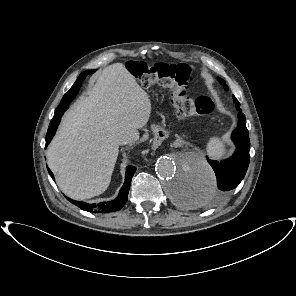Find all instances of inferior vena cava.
Returning <instances> with one entry per match:
<instances>
[{"label": "inferior vena cava", "instance_id": "obj_1", "mask_svg": "<svg viewBox=\"0 0 296 296\" xmlns=\"http://www.w3.org/2000/svg\"><path fill=\"white\" fill-rule=\"evenodd\" d=\"M135 139V134H125L118 139L119 145H124L133 142Z\"/></svg>", "mask_w": 296, "mask_h": 296}]
</instances>
